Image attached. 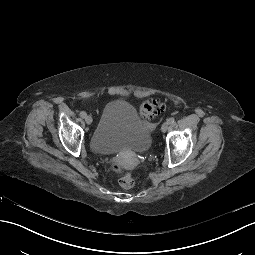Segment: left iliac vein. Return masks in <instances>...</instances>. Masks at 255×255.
<instances>
[{
  "label": "left iliac vein",
  "instance_id": "left-iliac-vein-1",
  "mask_svg": "<svg viewBox=\"0 0 255 255\" xmlns=\"http://www.w3.org/2000/svg\"><path fill=\"white\" fill-rule=\"evenodd\" d=\"M168 125H169L168 122H164L161 126V131L165 133L168 129Z\"/></svg>",
  "mask_w": 255,
  "mask_h": 255
}]
</instances>
